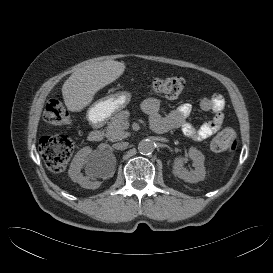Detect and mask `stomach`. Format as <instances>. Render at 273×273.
Here are the masks:
<instances>
[{"label": "stomach", "mask_w": 273, "mask_h": 273, "mask_svg": "<svg viewBox=\"0 0 273 273\" xmlns=\"http://www.w3.org/2000/svg\"><path fill=\"white\" fill-rule=\"evenodd\" d=\"M131 100L126 91L110 94L92 104L87 111V118L92 124L107 121L117 112L124 109Z\"/></svg>", "instance_id": "stomach-1"}]
</instances>
